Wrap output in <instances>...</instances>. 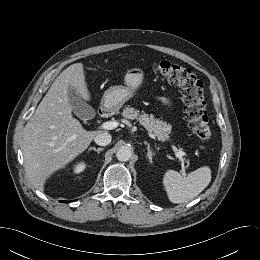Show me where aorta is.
I'll list each match as a JSON object with an SVG mask.
<instances>
[{
	"instance_id": "762f6f07",
	"label": "aorta",
	"mask_w": 260,
	"mask_h": 260,
	"mask_svg": "<svg viewBox=\"0 0 260 260\" xmlns=\"http://www.w3.org/2000/svg\"><path fill=\"white\" fill-rule=\"evenodd\" d=\"M131 156H132V149L126 145L119 147L116 152V157L121 162H126L130 160Z\"/></svg>"
}]
</instances>
